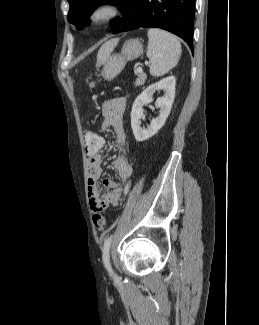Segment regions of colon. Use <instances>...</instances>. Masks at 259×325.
I'll use <instances>...</instances> for the list:
<instances>
[{
	"label": "colon",
	"instance_id": "colon-1",
	"mask_svg": "<svg viewBox=\"0 0 259 325\" xmlns=\"http://www.w3.org/2000/svg\"><path fill=\"white\" fill-rule=\"evenodd\" d=\"M84 142L86 149H100L103 139L101 135H96L95 130H86L84 132ZM93 224L97 231L103 232L106 227V219L102 214L95 213L93 215Z\"/></svg>",
	"mask_w": 259,
	"mask_h": 325
}]
</instances>
